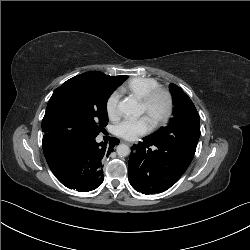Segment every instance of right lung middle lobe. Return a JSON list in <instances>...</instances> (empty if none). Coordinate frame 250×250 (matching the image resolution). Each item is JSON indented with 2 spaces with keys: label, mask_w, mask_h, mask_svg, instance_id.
<instances>
[{
  "label": "right lung middle lobe",
  "mask_w": 250,
  "mask_h": 250,
  "mask_svg": "<svg viewBox=\"0 0 250 250\" xmlns=\"http://www.w3.org/2000/svg\"><path fill=\"white\" fill-rule=\"evenodd\" d=\"M126 78L91 71L67 80L48 102L42 121L44 136L96 137L108 123L109 96Z\"/></svg>",
  "instance_id": "dd1d6c3e"
}]
</instances>
